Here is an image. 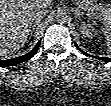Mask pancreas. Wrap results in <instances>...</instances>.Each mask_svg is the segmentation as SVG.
Returning a JSON list of instances; mask_svg holds the SVG:
<instances>
[{"mask_svg":"<svg viewBox=\"0 0 111 106\" xmlns=\"http://www.w3.org/2000/svg\"><path fill=\"white\" fill-rule=\"evenodd\" d=\"M81 7L86 10L90 15L95 16L98 19L111 18V8L104 4H98L94 0H83L80 2Z\"/></svg>","mask_w":111,"mask_h":106,"instance_id":"cf45deb5","label":"pancreas"}]
</instances>
